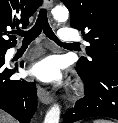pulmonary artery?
Here are the masks:
<instances>
[{"label":"pulmonary artery","instance_id":"pulmonary-artery-1","mask_svg":"<svg viewBox=\"0 0 118 123\" xmlns=\"http://www.w3.org/2000/svg\"><path fill=\"white\" fill-rule=\"evenodd\" d=\"M59 39L62 41H75L78 40L77 33L71 28H62L58 33Z\"/></svg>","mask_w":118,"mask_h":123}]
</instances>
